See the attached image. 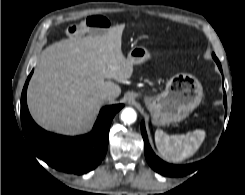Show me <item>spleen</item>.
<instances>
[{"mask_svg":"<svg viewBox=\"0 0 245 195\" xmlns=\"http://www.w3.org/2000/svg\"><path fill=\"white\" fill-rule=\"evenodd\" d=\"M205 131L197 129L182 135H167L163 130L155 132L159 153L168 161L181 162L195 154L205 139Z\"/></svg>","mask_w":245,"mask_h":195,"instance_id":"spleen-1","label":"spleen"}]
</instances>
